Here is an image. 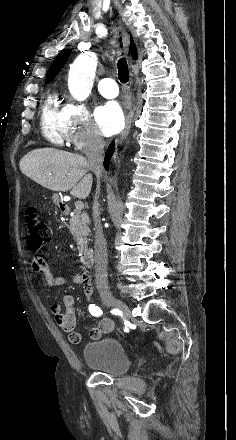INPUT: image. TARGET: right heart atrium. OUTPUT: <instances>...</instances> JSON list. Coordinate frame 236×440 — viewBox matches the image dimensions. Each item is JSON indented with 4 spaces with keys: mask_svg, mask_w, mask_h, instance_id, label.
Wrapping results in <instances>:
<instances>
[{
    "mask_svg": "<svg viewBox=\"0 0 236 440\" xmlns=\"http://www.w3.org/2000/svg\"><path fill=\"white\" fill-rule=\"evenodd\" d=\"M67 144L77 151L90 152L100 149V136L89 109L83 104L68 101L63 106Z\"/></svg>",
    "mask_w": 236,
    "mask_h": 440,
    "instance_id": "d8ad5b80",
    "label": "right heart atrium"
}]
</instances>
